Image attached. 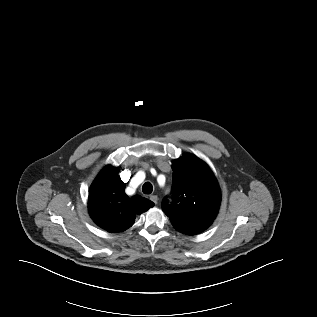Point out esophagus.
<instances>
[{"instance_id": "esophagus-1", "label": "esophagus", "mask_w": 317, "mask_h": 317, "mask_svg": "<svg viewBox=\"0 0 317 317\" xmlns=\"http://www.w3.org/2000/svg\"><path fill=\"white\" fill-rule=\"evenodd\" d=\"M158 199H159V198H158L157 195H151V196H150V200L153 201L155 204L158 203Z\"/></svg>"}]
</instances>
